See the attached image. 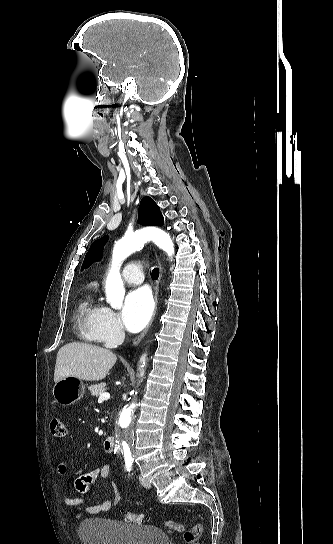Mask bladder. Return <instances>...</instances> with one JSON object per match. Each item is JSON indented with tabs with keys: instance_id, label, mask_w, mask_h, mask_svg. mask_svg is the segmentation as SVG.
Segmentation results:
<instances>
[{
	"instance_id": "1",
	"label": "bladder",
	"mask_w": 333,
	"mask_h": 544,
	"mask_svg": "<svg viewBox=\"0 0 333 544\" xmlns=\"http://www.w3.org/2000/svg\"><path fill=\"white\" fill-rule=\"evenodd\" d=\"M78 537L82 544H169L168 535L157 527L105 518L83 520L78 527Z\"/></svg>"
}]
</instances>
